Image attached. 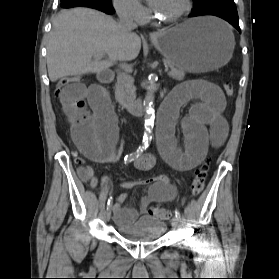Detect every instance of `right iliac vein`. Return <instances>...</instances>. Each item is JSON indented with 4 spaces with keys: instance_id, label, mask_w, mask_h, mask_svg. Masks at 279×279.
Listing matches in <instances>:
<instances>
[{
    "instance_id": "right-iliac-vein-1",
    "label": "right iliac vein",
    "mask_w": 279,
    "mask_h": 279,
    "mask_svg": "<svg viewBox=\"0 0 279 279\" xmlns=\"http://www.w3.org/2000/svg\"><path fill=\"white\" fill-rule=\"evenodd\" d=\"M110 218H111V207H108L105 212V219H106V221H109Z\"/></svg>"
}]
</instances>
